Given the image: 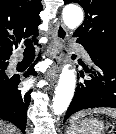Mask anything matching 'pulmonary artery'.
I'll use <instances>...</instances> for the list:
<instances>
[{
	"label": "pulmonary artery",
	"mask_w": 116,
	"mask_h": 134,
	"mask_svg": "<svg viewBox=\"0 0 116 134\" xmlns=\"http://www.w3.org/2000/svg\"><path fill=\"white\" fill-rule=\"evenodd\" d=\"M72 47L84 58V60H86L87 62H90V55L86 49H84L82 46L78 44H73ZM19 61H20V58L18 57L11 58L9 62V67L11 69L15 68L18 65Z\"/></svg>",
	"instance_id": "obj_1"
}]
</instances>
